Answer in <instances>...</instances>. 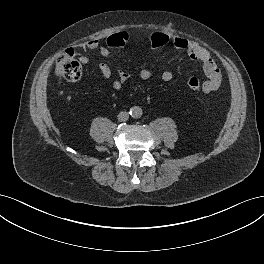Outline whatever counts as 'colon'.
<instances>
[{"label":"colon","mask_w":264,"mask_h":264,"mask_svg":"<svg viewBox=\"0 0 264 264\" xmlns=\"http://www.w3.org/2000/svg\"><path fill=\"white\" fill-rule=\"evenodd\" d=\"M129 42V34L127 31L121 30L113 33L106 39V45L110 49L122 48ZM170 42V36L162 31H155L150 36V44L153 49H160ZM55 74L61 81H77L82 76V67L80 63L73 57V54L66 50L56 60ZM187 87L192 91H203L206 84L201 82L197 77H191L186 83Z\"/></svg>","instance_id":"colon-1"}]
</instances>
